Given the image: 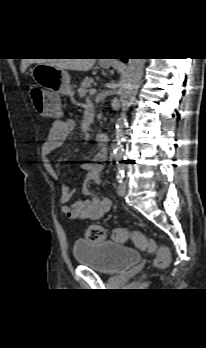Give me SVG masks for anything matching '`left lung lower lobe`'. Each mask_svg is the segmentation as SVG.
Masks as SVG:
<instances>
[{
  "label": "left lung lower lobe",
  "mask_w": 206,
  "mask_h": 348,
  "mask_svg": "<svg viewBox=\"0 0 206 348\" xmlns=\"http://www.w3.org/2000/svg\"><path fill=\"white\" fill-rule=\"evenodd\" d=\"M124 62H126L127 61V59H122Z\"/></svg>",
  "instance_id": "1"
}]
</instances>
